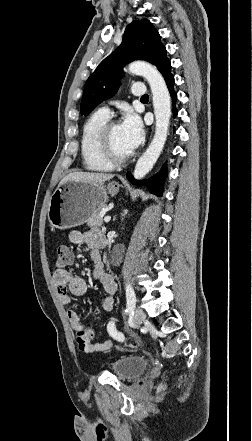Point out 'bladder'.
Returning <instances> with one entry per match:
<instances>
[{"mask_svg": "<svg viewBox=\"0 0 252 441\" xmlns=\"http://www.w3.org/2000/svg\"><path fill=\"white\" fill-rule=\"evenodd\" d=\"M148 366L146 358L141 356H129L118 358L113 362L114 374L123 380H131L144 373Z\"/></svg>", "mask_w": 252, "mask_h": 441, "instance_id": "31cf9c89", "label": "bladder"}]
</instances>
